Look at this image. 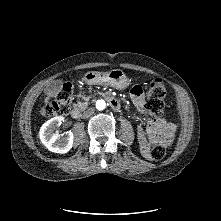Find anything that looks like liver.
Instances as JSON below:
<instances>
[{"label":"liver","instance_id":"1","mask_svg":"<svg viewBox=\"0 0 221 221\" xmlns=\"http://www.w3.org/2000/svg\"><path fill=\"white\" fill-rule=\"evenodd\" d=\"M56 94H57V91H55V90H48V91H47V97H46V99H45V102H48V100H49L51 97L55 96Z\"/></svg>","mask_w":221,"mask_h":221}]
</instances>
